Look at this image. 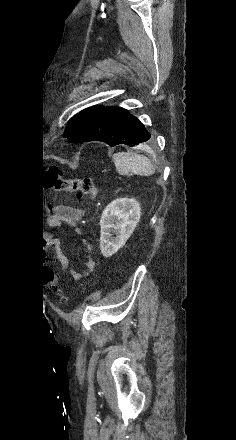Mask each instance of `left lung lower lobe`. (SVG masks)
I'll return each mask as SVG.
<instances>
[{
	"instance_id": "obj_1",
	"label": "left lung lower lobe",
	"mask_w": 236,
	"mask_h": 440,
	"mask_svg": "<svg viewBox=\"0 0 236 440\" xmlns=\"http://www.w3.org/2000/svg\"><path fill=\"white\" fill-rule=\"evenodd\" d=\"M152 138L144 125L126 109L102 107L83 123L69 143L101 141L110 146H135Z\"/></svg>"
}]
</instances>
